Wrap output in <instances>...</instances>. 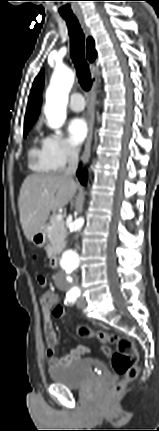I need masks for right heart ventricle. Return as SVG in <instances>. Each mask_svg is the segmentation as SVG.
Listing matches in <instances>:
<instances>
[{
  "label": "right heart ventricle",
  "instance_id": "1",
  "mask_svg": "<svg viewBox=\"0 0 159 431\" xmlns=\"http://www.w3.org/2000/svg\"><path fill=\"white\" fill-rule=\"evenodd\" d=\"M28 162L30 169L35 172L47 173L52 171L46 161L42 142L39 144L38 139L33 140L28 151Z\"/></svg>",
  "mask_w": 159,
  "mask_h": 431
}]
</instances>
